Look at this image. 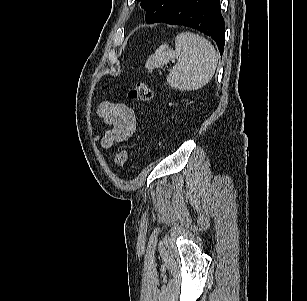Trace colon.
<instances>
[{"label": "colon", "instance_id": "1", "mask_svg": "<svg viewBox=\"0 0 307 301\" xmlns=\"http://www.w3.org/2000/svg\"><path fill=\"white\" fill-rule=\"evenodd\" d=\"M128 96L130 99L146 102L152 98V90L145 81H137L129 90ZM129 152L127 149H121L114 158V163L118 167H122L128 161Z\"/></svg>", "mask_w": 307, "mask_h": 301}]
</instances>
